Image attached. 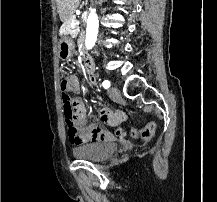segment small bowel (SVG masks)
Segmentation results:
<instances>
[{"instance_id": "c3829d8e", "label": "small bowel", "mask_w": 217, "mask_h": 202, "mask_svg": "<svg viewBox=\"0 0 217 202\" xmlns=\"http://www.w3.org/2000/svg\"><path fill=\"white\" fill-rule=\"evenodd\" d=\"M90 85L96 84V78L90 80ZM99 105L96 114L90 116V110L86 102L81 98L73 99L70 102L75 128L69 131L68 139L72 146L81 147L89 144L113 141L119 137H123V132L115 130L126 119L123 112H113L109 107L102 105L101 98L94 95ZM64 106V104H63ZM97 120L105 123L109 128L101 127L97 124Z\"/></svg>"}]
</instances>
